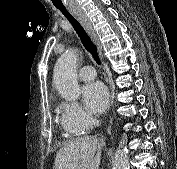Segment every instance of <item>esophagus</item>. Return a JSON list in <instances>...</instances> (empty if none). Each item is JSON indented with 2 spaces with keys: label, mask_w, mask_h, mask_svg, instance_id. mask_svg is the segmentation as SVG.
<instances>
[{
  "label": "esophagus",
  "mask_w": 177,
  "mask_h": 169,
  "mask_svg": "<svg viewBox=\"0 0 177 169\" xmlns=\"http://www.w3.org/2000/svg\"><path fill=\"white\" fill-rule=\"evenodd\" d=\"M68 10L71 12V14L77 18V20L81 23V25L86 29V31L89 33V35L93 38L94 42L97 45L98 51L100 58L103 59V54H102V46L100 44L99 38L97 36V33L85 14V12L82 10V8L79 5L76 6H69Z\"/></svg>",
  "instance_id": "esophagus-1"
}]
</instances>
